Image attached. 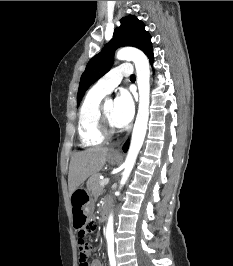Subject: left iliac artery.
Wrapping results in <instances>:
<instances>
[{"instance_id":"left-iliac-artery-1","label":"left iliac artery","mask_w":233,"mask_h":266,"mask_svg":"<svg viewBox=\"0 0 233 266\" xmlns=\"http://www.w3.org/2000/svg\"><path fill=\"white\" fill-rule=\"evenodd\" d=\"M108 256L110 261V266H116L115 254H114V238L108 237Z\"/></svg>"}]
</instances>
